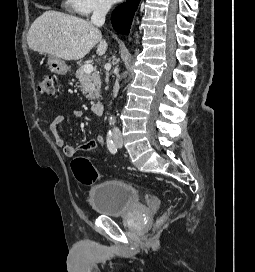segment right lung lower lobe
I'll list each match as a JSON object with an SVG mask.
<instances>
[{"label": "right lung lower lobe", "mask_w": 255, "mask_h": 272, "mask_svg": "<svg viewBox=\"0 0 255 272\" xmlns=\"http://www.w3.org/2000/svg\"><path fill=\"white\" fill-rule=\"evenodd\" d=\"M140 0H127L118 6L111 16L113 28L120 34L127 35Z\"/></svg>", "instance_id": "1"}]
</instances>
